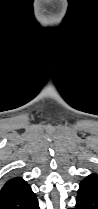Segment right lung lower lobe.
Returning <instances> with one entry per match:
<instances>
[{"label":"right lung lower lobe","mask_w":98,"mask_h":209,"mask_svg":"<svg viewBox=\"0 0 98 209\" xmlns=\"http://www.w3.org/2000/svg\"><path fill=\"white\" fill-rule=\"evenodd\" d=\"M0 209H40L35 193L30 186L23 189L8 202L0 206Z\"/></svg>","instance_id":"obj_1"}]
</instances>
